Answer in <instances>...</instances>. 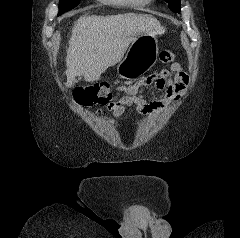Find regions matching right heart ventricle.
Returning <instances> with one entry per match:
<instances>
[{"mask_svg": "<svg viewBox=\"0 0 240 238\" xmlns=\"http://www.w3.org/2000/svg\"><path fill=\"white\" fill-rule=\"evenodd\" d=\"M105 4L115 6V7H140L146 5V0H133V3L128 2L127 0H99Z\"/></svg>", "mask_w": 240, "mask_h": 238, "instance_id": "obj_1", "label": "right heart ventricle"}]
</instances>
